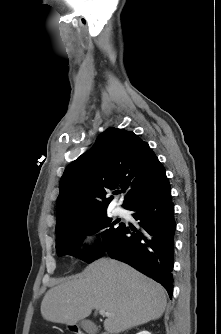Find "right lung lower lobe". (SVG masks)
<instances>
[{
  "mask_svg": "<svg viewBox=\"0 0 221 334\" xmlns=\"http://www.w3.org/2000/svg\"><path fill=\"white\" fill-rule=\"evenodd\" d=\"M141 228L130 232L124 226L115 242L105 250L159 282L173 294V255L176 223L171 188L164 175L151 189L139 196L129 207Z\"/></svg>",
  "mask_w": 221,
  "mask_h": 334,
  "instance_id": "right-lung-lower-lobe-1",
  "label": "right lung lower lobe"
}]
</instances>
